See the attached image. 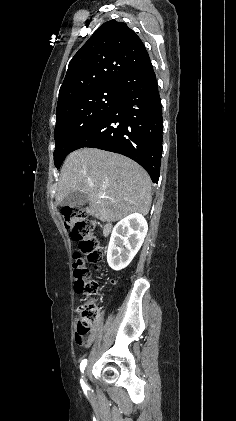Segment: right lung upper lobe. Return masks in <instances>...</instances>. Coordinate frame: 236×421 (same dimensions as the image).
<instances>
[{"instance_id":"1","label":"right lung upper lobe","mask_w":236,"mask_h":421,"mask_svg":"<svg viewBox=\"0 0 236 421\" xmlns=\"http://www.w3.org/2000/svg\"><path fill=\"white\" fill-rule=\"evenodd\" d=\"M149 60L143 42L125 23L105 22L69 63L57 107L87 92L118 87L122 77Z\"/></svg>"}]
</instances>
